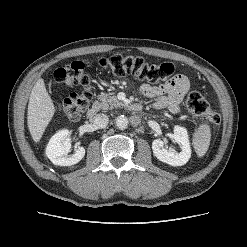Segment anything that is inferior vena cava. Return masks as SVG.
Here are the masks:
<instances>
[{
    "label": "inferior vena cava",
    "instance_id": "inferior-vena-cava-1",
    "mask_svg": "<svg viewBox=\"0 0 247 247\" xmlns=\"http://www.w3.org/2000/svg\"><path fill=\"white\" fill-rule=\"evenodd\" d=\"M93 123L97 128H105L109 123V118L106 114H97L94 117Z\"/></svg>",
    "mask_w": 247,
    "mask_h": 247
}]
</instances>
